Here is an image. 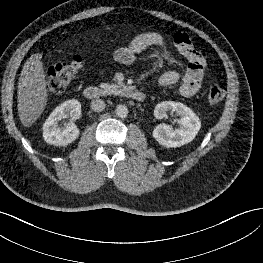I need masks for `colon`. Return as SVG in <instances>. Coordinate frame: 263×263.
<instances>
[{"instance_id": "colon-1", "label": "colon", "mask_w": 263, "mask_h": 263, "mask_svg": "<svg viewBox=\"0 0 263 263\" xmlns=\"http://www.w3.org/2000/svg\"><path fill=\"white\" fill-rule=\"evenodd\" d=\"M82 66V58L79 55L73 56L69 61L55 64L47 71V88L51 93L63 92L71 81L76 77ZM225 96L224 89L219 85H212L208 89V100L217 104Z\"/></svg>"}]
</instances>
